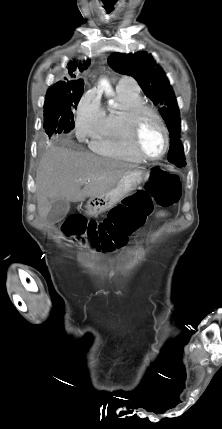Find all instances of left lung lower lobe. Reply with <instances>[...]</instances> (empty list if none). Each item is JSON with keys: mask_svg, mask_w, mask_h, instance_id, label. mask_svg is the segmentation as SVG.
Returning a JSON list of instances; mask_svg holds the SVG:
<instances>
[{"mask_svg": "<svg viewBox=\"0 0 222 429\" xmlns=\"http://www.w3.org/2000/svg\"><path fill=\"white\" fill-rule=\"evenodd\" d=\"M176 166H177V165H176ZM184 166H185V165H184ZM184 166H182V165H178V167H179V168L184 167Z\"/></svg>", "mask_w": 222, "mask_h": 429, "instance_id": "left-lung-lower-lobe-1", "label": "left lung lower lobe"}]
</instances>
